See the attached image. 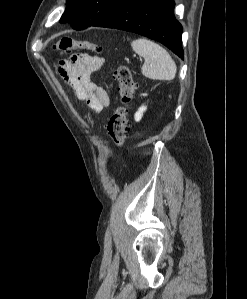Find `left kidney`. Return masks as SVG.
I'll return each instance as SVG.
<instances>
[{
  "label": "left kidney",
  "mask_w": 247,
  "mask_h": 299,
  "mask_svg": "<svg viewBox=\"0 0 247 299\" xmlns=\"http://www.w3.org/2000/svg\"><path fill=\"white\" fill-rule=\"evenodd\" d=\"M146 106H141L138 111L134 115V119L136 122H139L142 119L143 113L146 111Z\"/></svg>",
  "instance_id": "left-kidney-1"
}]
</instances>
